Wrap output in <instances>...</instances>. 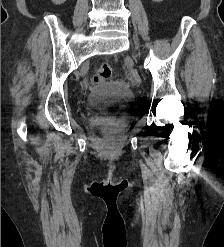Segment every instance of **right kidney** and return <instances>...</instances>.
Here are the masks:
<instances>
[{
  "label": "right kidney",
  "instance_id": "1",
  "mask_svg": "<svg viewBox=\"0 0 224 247\" xmlns=\"http://www.w3.org/2000/svg\"><path fill=\"white\" fill-rule=\"evenodd\" d=\"M52 2L55 4V6H60V4H64L66 0H52Z\"/></svg>",
  "mask_w": 224,
  "mask_h": 247
}]
</instances>
